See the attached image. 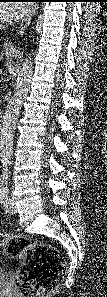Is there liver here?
Instances as JSON below:
<instances>
[{"label":"liver","instance_id":"1","mask_svg":"<svg viewBox=\"0 0 107 297\" xmlns=\"http://www.w3.org/2000/svg\"><path fill=\"white\" fill-rule=\"evenodd\" d=\"M19 53V50L13 47L12 45H4L3 49L1 50L0 58L1 60L4 59V57H17Z\"/></svg>","mask_w":107,"mask_h":297}]
</instances>
